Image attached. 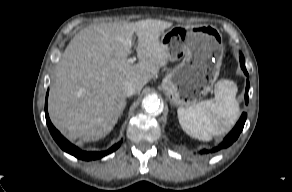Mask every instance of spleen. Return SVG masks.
<instances>
[{
	"instance_id": "1",
	"label": "spleen",
	"mask_w": 292,
	"mask_h": 192,
	"mask_svg": "<svg viewBox=\"0 0 292 192\" xmlns=\"http://www.w3.org/2000/svg\"><path fill=\"white\" fill-rule=\"evenodd\" d=\"M214 93L213 100L178 108L179 123L189 136L210 141L213 136L228 132L239 118L237 85L233 81L222 79L215 84Z\"/></svg>"
}]
</instances>
